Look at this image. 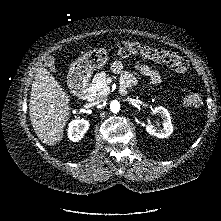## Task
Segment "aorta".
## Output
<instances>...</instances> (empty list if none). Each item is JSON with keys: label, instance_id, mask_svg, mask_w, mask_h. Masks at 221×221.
Instances as JSON below:
<instances>
[{"label": "aorta", "instance_id": "762f6f07", "mask_svg": "<svg viewBox=\"0 0 221 221\" xmlns=\"http://www.w3.org/2000/svg\"><path fill=\"white\" fill-rule=\"evenodd\" d=\"M110 110L113 113L119 112V110H120V103L118 101H116V100L112 101L110 103Z\"/></svg>", "mask_w": 221, "mask_h": 221}]
</instances>
